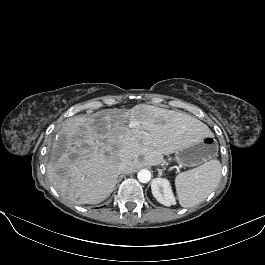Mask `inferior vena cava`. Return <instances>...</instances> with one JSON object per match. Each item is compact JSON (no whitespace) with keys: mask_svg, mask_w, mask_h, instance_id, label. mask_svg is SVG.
<instances>
[{"mask_svg":"<svg viewBox=\"0 0 265 265\" xmlns=\"http://www.w3.org/2000/svg\"><path fill=\"white\" fill-rule=\"evenodd\" d=\"M127 163L126 162H121L120 164H119V174L120 173H122V172H126V170H127Z\"/></svg>","mask_w":265,"mask_h":265,"instance_id":"1","label":"inferior vena cava"}]
</instances>
